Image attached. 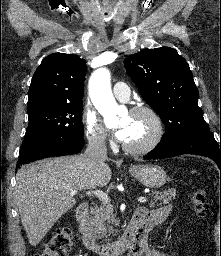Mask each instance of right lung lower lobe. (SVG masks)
<instances>
[{
    "mask_svg": "<svg viewBox=\"0 0 221 256\" xmlns=\"http://www.w3.org/2000/svg\"><path fill=\"white\" fill-rule=\"evenodd\" d=\"M83 145V137L64 136L49 139L20 153L17 167L47 157L76 154L82 150Z\"/></svg>",
    "mask_w": 221,
    "mask_h": 256,
    "instance_id": "obj_1",
    "label": "right lung lower lobe"
}]
</instances>
